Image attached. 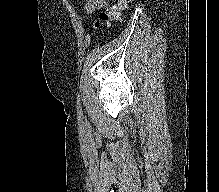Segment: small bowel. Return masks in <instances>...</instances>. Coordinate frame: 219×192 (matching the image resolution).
I'll list each match as a JSON object with an SVG mask.
<instances>
[{"instance_id":"small-bowel-1","label":"small bowel","mask_w":219,"mask_h":192,"mask_svg":"<svg viewBox=\"0 0 219 192\" xmlns=\"http://www.w3.org/2000/svg\"><path fill=\"white\" fill-rule=\"evenodd\" d=\"M106 5V0H87L84 10L86 13H92L96 10L104 8Z\"/></svg>"}]
</instances>
